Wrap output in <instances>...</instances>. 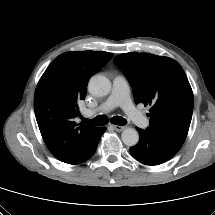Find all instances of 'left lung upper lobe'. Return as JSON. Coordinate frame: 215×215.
Masks as SVG:
<instances>
[{
	"mask_svg": "<svg viewBox=\"0 0 215 215\" xmlns=\"http://www.w3.org/2000/svg\"><path fill=\"white\" fill-rule=\"evenodd\" d=\"M114 63L128 78L135 103L150 105V130L181 148L191 123L193 93L175 60L149 53H126Z\"/></svg>",
	"mask_w": 215,
	"mask_h": 215,
	"instance_id": "5c2ea615",
	"label": "left lung upper lobe"
}]
</instances>
